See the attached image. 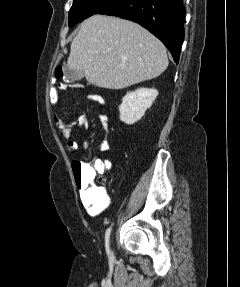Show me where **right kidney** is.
Here are the masks:
<instances>
[{"label": "right kidney", "instance_id": "ca27d5eb", "mask_svg": "<svg viewBox=\"0 0 240 287\" xmlns=\"http://www.w3.org/2000/svg\"><path fill=\"white\" fill-rule=\"evenodd\" d=\"M158 95L153 88H139L127 93L119 106L120 120L128 125L139 121Z\"/></svg>", "mask_w": 240, "mask_h": 287}]
</instances>
